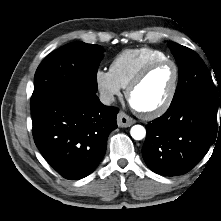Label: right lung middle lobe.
<instances>
[{
    "mask_svg": "<svg viewBox=\"0 0 221 221\" xmlns=\"http://www.w3.org/2000/svg\"><path fill=\"white\" fill-rule=\"evenodd\" d=\"M103 52L99 45L73 42L50 53L35 73L31 110L49 94L66 86H79L96 92L97 70Z\"/></svg>",
    "mask_w": 221,
    "mask_h": 221,
    "instance_id": "dd1d6c3e",
    "label": "right lung middle lobe"
}]
</instances>
